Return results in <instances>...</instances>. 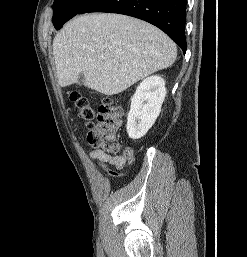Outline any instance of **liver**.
Here are the masks:
<instances>
[{
    "label": "liver",
    "mask_w": 247,
    "mask_h": 257,
    "mask_svg": "<svg viewBox=\"0 0 247 257\" xmlns=\"http://www.w3.org/2000/svg\"><path fill=\"white\" fill-rule=\"evenodd\" d=\"M53 53L59 85L77 83L112 96L170 67L174 42L157 27L134 17L93 13L75 17L56 34Z\"/></svg>",
    "instance_id": "obj_1"
}]
</instances>
